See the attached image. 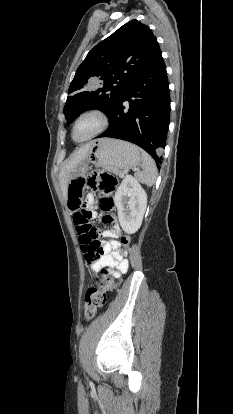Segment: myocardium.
<instances>
[{
  "label": "myocardium",
  "instance_id": "myocardium-1",
  "mask_svg": "<svg viewBox=\"0 0 233 414\" xmlns=\"http://www.w3.org/2000/svg\"><path fill=\"white\" fill-rule=\"evenodd\" d=\"M86 118L95 119L96 120V127L89 134H87L83 138L78 139L75 136L76 129H77L78 125L80 124V122L83 119H86ZM109 126H110V117L105 111H103L99 108L86 109V110L80 112L77 115V117L75 118V120L72 124V127H71V138L74 142L83 143V142L89 141V140L95 138L96 136L104 133L108 129Z\"/></svg>",
  "mask_w": 233,
  "mask_h": 414
}]
</instances>
